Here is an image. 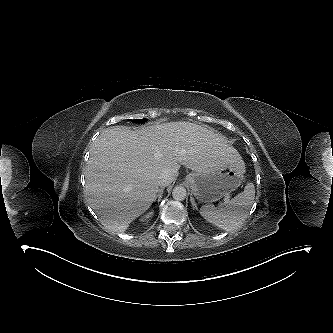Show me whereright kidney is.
<instances>
[{
	"instance_id": "obj_1",
	"label": "right kidney",
	"mask_w": 333,
	"mask_h": 333,
	"mask_svg": "<svg viewBox=\"0 0 333 333\" xmlns=\"http://www.w3.org/2000/svg\"><path fill=\"white\" fill-rule=\"evenodd\" d=\"M153 215H154V212L150 211L147 214H145L140 220L142 222H145V221L149 220L150 218H152Z\"/></svg>"
}]
</instances>
